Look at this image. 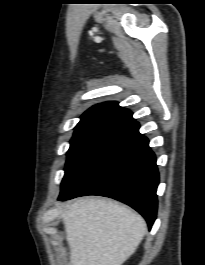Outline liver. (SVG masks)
I'll return each mask as SVG.
<instances>
[{"label": "liver", "mask_w": 205, "mask_h": 265, "mask_svg": "<svg viewBox=\"0 0 205 265\" xmlns=\"http://www.w3.org/2000/svg\"><path fill=\"white\" fill-rule=\"evenodd\" d=\"M61 217L69 265H122L147 233L138 213L106 199L74 200L64 205Z\"/></svg>", "instance_id": "1"}]
</instances>
